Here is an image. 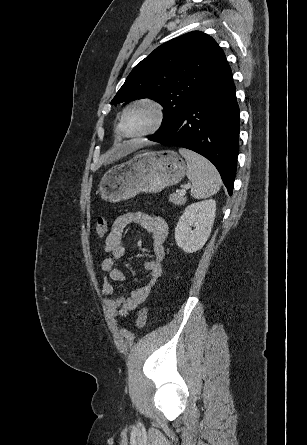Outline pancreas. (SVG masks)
<instances>
[{
	"label": "pancreas",
	"mask_w": 307,
	"mask_h": 445,
	"mask_svg": "<svg viewBox=\"0 0 307 445\" xmlns=\"http://www.w3.org/2000/svg\"><path fill=\"white\" fill-rule=\"evenodd\" d=\"M169 200L174 202V204H185L187 198L184 196V194H177V192H173V194H170Z\"/></svg>",
	"instance_id": "1"
}]
</instances>
